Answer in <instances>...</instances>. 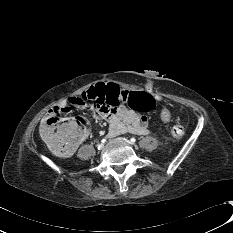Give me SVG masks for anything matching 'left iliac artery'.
<instances>
[{
	"instance_id": "obj_1",
	"label": "left iliac artery",
	"mask_w": 233,
	"mask_h": 233,
	"mask_svg": "<svg viewBox=\"0 0 233 233\" xmlns=\"http://www.w3.org/2000/svg\"><path fill=\"white\" fill-rule=\"evenodd\" d=\"M135 142H136V139H135V138H131V139H130V143H131V144H134Z\"/></svg>"
}]
</instances>
